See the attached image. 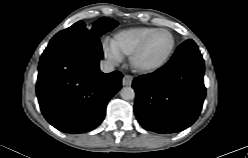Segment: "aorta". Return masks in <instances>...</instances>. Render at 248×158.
Here are the masks:
<instances>
[{
  "instance_id": "obj_1",
  "label": "aorta",
  "mask_w": 248,
  "mask_h": 158,
  "mask_svg": "<svg viewBox=\"0 0 248 158\" xmlns=\"http://www.w3.org/2000/svg\"><path fill=\"white\" fill-rule=\"evenodd\" d=\"M120 96L124 100H133L135 98V91L131 87H124L120 91Z\"/></svg>"
}]
</instances>
